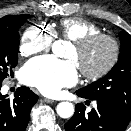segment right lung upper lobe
Listing matches in <instances>:
<instances>
[{"instance_id": "obj_1", "label": "right lung upper lobe", "mask_w": 131, "mask_h": 131, "mask_svg": "<svg viewBox=\"0 0 131 131\" xmlns=\"http://www.w3.org/2000/svg\"><path fill=\"white\" fill-rule=\"evenodd\" d=\"M9 16H11V15H7V16L1 18L0 21H6L9 18Z\"/></svg>"}]
</instances>
